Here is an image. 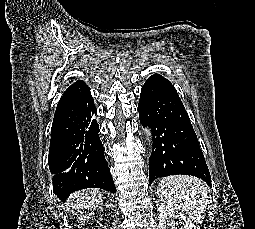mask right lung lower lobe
I'll use <instances>...</instances> for the list:
<instances>
[{"label":"right lung lower lobe","instance_id":"obj_1","mask_svg":"<svg viewBox=\"0 0 255 229\" xmlns=\"http://www.w3.org/2000/svg\"><path fill=\"white\" fill-rule=\"evenodd\" d=\"M96 114L90 88L81 80L67 88L56 107L48 163L53 191L62 200L85 188L116 192Z\"/></svg>","mask_w":255,"mask_h":229}]
</instances>
